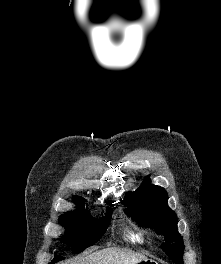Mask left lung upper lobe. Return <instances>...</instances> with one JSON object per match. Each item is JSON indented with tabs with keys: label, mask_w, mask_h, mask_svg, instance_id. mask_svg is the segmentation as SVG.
<instances>
[{
	"label": "left lung upper lobe",
	"mask_w": 221,
	"mask_h": 264,
	"mask_svg": "<svg viewBox=\"0 0 221 264\" xmlns=\"http://www.w3.org/2000/svg\"><path fill=\"white\" fill-rule=\"evenodd\" d=\"M149 182L146 177L141 188L126 194L125 212L139 224L155 228L158 234H162L165 240L163 251L177 264H183L184 244L177 231V216L168 207L164 188Z\"/></svg>",
	"instance_id": "1"
}]
</instances>
